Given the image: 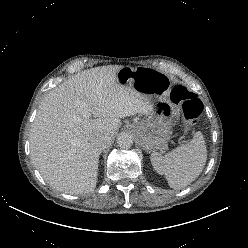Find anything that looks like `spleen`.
<instances>
[{
	"label": "spleen",
	"instance_id": "1",
	"mask_svg": "<svg viewBox=\"0 0 248 248\" xmlns=\"http://www.w3.org/2000/svg\"><path fill=\"white\" fill-rule=\"evenodd\" d=\"M153 168L165 175L171 188H183L201 174L206 160L207 149L201 132H196L192 141L162 155L153 152L150 156Z\"/></svg>",
	"mask_w": 248,
	"mask_h": 248
}]
</instances>
